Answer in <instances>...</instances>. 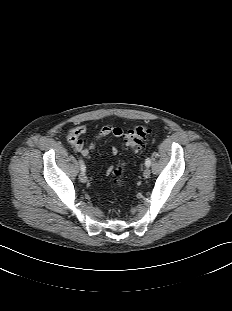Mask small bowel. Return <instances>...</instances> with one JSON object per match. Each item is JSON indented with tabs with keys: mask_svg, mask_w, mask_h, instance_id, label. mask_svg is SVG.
Here are the masks:
<instances>
[{
	"mask_svg": "<svg viewBox=\"0 0 232 311\" xmlns=\"http://www.w3.org/2000/svg\"><path fill=\"white\" fill-rule=\"evenodd\" d=\"M86 131L87 126L82 124L71 128L66 135L67 143L76 152L80 153L86 158H89L90 152L95 148L97 142H99L103 138L109 135L119 138L124 134L123 129L120 127L104 125L90 143H85L81 137L86 133ZM111 153L112 155H116L118 153L117 148H112Z\"/></svg>",
	"mask_w": 232,
	"mask_h": 311,
	"instance_id": "1",
	"label": "small bowel"
}]
</instances>
